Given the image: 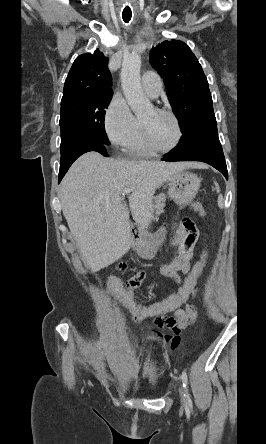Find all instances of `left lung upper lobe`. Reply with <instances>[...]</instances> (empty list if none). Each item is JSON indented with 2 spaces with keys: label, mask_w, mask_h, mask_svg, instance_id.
<instances>
[{
  "label": "left lung upper lobe",
  "mask_w": 266,
  "mask_h": 444,
  "mask_svg": "<svg viewBox=\"0 0 266 444\" xmlns=\"http://www.w3.org/2000/svg\"><path fill=\"white\" fill-rule=\"evenodd\" d=\"M150 63L164 79L166 93L182 130L214 114L206 76L187 44L163 41L150 51Z\"/></svg>",
  "instance_id": "1"
}]
</instances>
